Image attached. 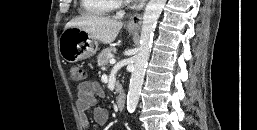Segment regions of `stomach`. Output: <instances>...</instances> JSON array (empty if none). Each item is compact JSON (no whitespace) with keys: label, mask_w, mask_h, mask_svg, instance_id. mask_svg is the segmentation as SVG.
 <instances>
[{"label":"stomach","mask_w":257,"mask_h":130,"mask_svg":"<svg viewBox=\"0 0 257 130\" xmlns=\"http://www.w3.org/2000/svg\"><path fill=\"white\" fill-rule=\"evenodd\" d=\"M127 30L129 33L136 31L129 27ZM96 45V41L80 28H65L59 38V53L65 61L74 63L95 54Z\"/></svg>","instance_id":"1"}]
</instances>
